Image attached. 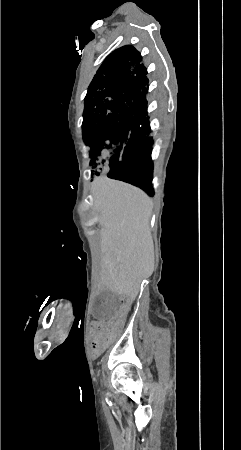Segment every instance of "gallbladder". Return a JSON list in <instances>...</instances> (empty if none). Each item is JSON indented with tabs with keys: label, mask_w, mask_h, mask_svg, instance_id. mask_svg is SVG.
Masks as SVG:
<instances>
[{
	"label": "gallbladder",
	"mask_w": 241,
	"mask_h": 450,
	"mask_svg": "<svg viewBox=\"0 0 241 450\" xmlns=\"http://www.w3.org/2000/svg\"><path fill=\"white\" fill-rule=\"evenodd\" d=\"M115 293H101L94 302V312L92 317L96 323L114 320L117 313V301H114Z\"/></svg>",
	"instance_id": "1"
}]
</instances>
